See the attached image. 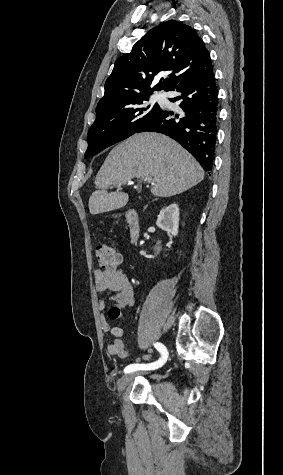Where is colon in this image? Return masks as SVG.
<instances>
[{
  "label": "colon",
  "instance_id": "colon-1",
  "mask_svg": "<svg viewBox=\"0 0 283 475\" xmlns=\"http://www.w3.org/2000/svg\"><path fill=\"white\" fill-rule=\"evenodd\" d=\"M98 263L106 269H117L120 265L121 257L119 253L110 245H100L96 248Z\"/></svg>",
  "mask_w": 283,
  "mask_h": 475
}]
</instances>
